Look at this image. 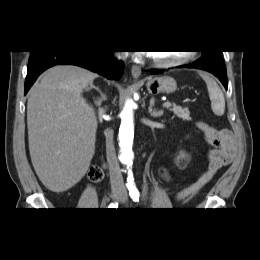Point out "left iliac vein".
<instances>
[{"instance_id":"4c4485c4","label":"left iliac vein","mask_w":260,"mask_h":260,"mask_svg":"<svg viewBox=\"0 0 260 260\" xmlns=\"http://www.w3.org/2000/svg\"><path fill=\"white\" fill-rule=\"evenodd\" d=\"M119 200H120L121 203H126V201H127V193L124 192V193L120 196Z\"/></svg>"}]
</instances>
